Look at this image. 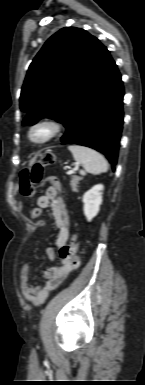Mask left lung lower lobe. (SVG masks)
<instances>
[{
    "instance_id": "0a47b994",
    "label": "left lung lower lobe",
    "mask_w": 145,
    "mask_h": 385,
    "mask_svg": "<svg viewBox=\"0 0 145 385\" xmlns=\"http://www.w3.org/2000/svg\"><path fill=\"white\" fill-rule=\"evenodd\" d=\"M123 95V82L115 61L98 42L94 59L64 123L66 133L61 141L93 148L115 165L123 125Z\"/></svg>"
}]
</instances>
